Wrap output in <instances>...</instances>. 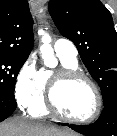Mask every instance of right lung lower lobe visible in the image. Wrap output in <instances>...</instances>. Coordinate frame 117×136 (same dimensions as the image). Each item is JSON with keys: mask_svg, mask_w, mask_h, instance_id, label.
Listing matches in <instances>:
<instances>
[{"mask_svg": "<svg viewBox=\"0 0 117 136\" xmlns=\"http://www.w3.org/2000/svg\"><path fill=\"white\" fill-rule=\"evenodd\" d=\"M16 101L14 97L8 95H0V122L9 117L16 109Z\"/></svg>", "mask_w": 117, "mask_h": 136, "instance_id": "98d812e1", "label": "right lung lower lobe"}]
</instances>
